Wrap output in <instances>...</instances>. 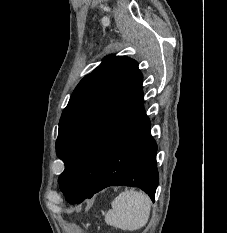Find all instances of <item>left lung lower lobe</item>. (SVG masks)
I'll return each mask as SVG.
<instances>
[{
	"instance_id": "obj_1",
	"label": "left lung lower lobe",
	"mask_w": 227,
	"mask_h": 233,
	"mask_svg": "<svg viewBox=\"0 0 227 233\" xmlns=\"http://www.w3.org/2000/svg\"><path fill=\"white\" fill-rule=\"evenodd\" d=\"M150 126L144 113L114 148L95 188L74 202H68L81 203L106 187L119 185L139 187L154 200L159 175L157 144L150 134Z\"/></svg>"
}]
</instances>
